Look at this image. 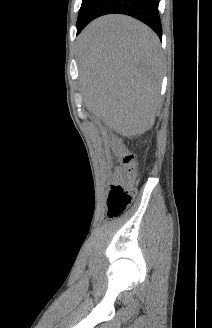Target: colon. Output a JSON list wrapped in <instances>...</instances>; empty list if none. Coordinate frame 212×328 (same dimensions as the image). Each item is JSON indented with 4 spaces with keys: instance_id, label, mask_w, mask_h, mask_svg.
Wrapping results in <instances>:
<instances>
[{
    "instance_id": "5ec220e1",
    "label": "colon",
    "mask_w": 212,
    "mask_h": 328,
    "mask_svg": "<svg viewBox=\"0 0 212 328\" xmlns=\"http://www.w3.org/2000/svg\"><path fill=\"white\" fill-rule=\"evenodd\" d=\"M114 151L120 158L123 170L121 179L113 184L107 197V215L110 218L121 216L127 207L132 203L135 196L134 183L137 176L135 157L127 152L118 142L112 144Z\"/></svg>"
}]
</instances>
